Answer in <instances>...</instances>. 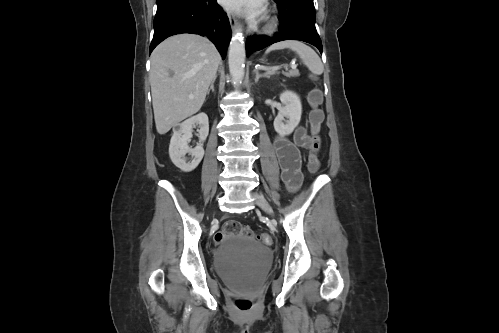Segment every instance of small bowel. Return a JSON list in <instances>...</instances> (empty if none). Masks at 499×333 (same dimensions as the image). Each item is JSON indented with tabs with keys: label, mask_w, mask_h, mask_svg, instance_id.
I'll list each match as a JSON object with an SVG mask.
<instances>
[{
	"label": "small bowel",
	"mask_w": 499,
	"mask_h": 333,
	"mask_svg": "<svg viewBox=\"0 0 499 333\" xmlns=\"http://www.w3.org/2000/svg\"><path fill=\"white\" fill-rule=\"evenodd\" d=\"M312 137L304 126L295 129L292 139L277 135L274 140V149L281 167L282 180L289 191L299 189L303 175L301 171L300 149H310Z\"/></svg>",
	"instance_id": "obj_1"
}]
</instances>
